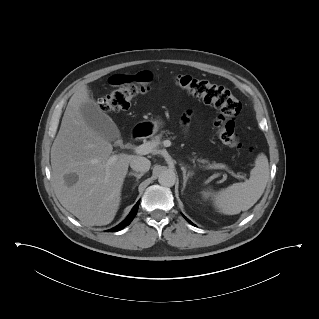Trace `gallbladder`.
<instances>
[{
    "label": "gallbladder",
    "instance_id": "1",
    "mask_svg": "<svg viewBox=\"0 0 319 319\" xmlns=\"http://www.w3.org/2000/svg\"><path fill=\"white\" fill-rule=\"evenodd\" d=\"M80 111L86 124L107 141H118L120 131L112 119L93 100L82 104Z\"/></svg>",
    "mask_w": 319,
    "mask_h": 319
}]
</instances>
